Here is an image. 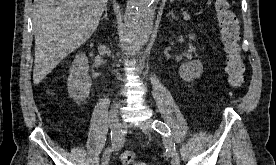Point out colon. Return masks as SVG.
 Returning a JSON list of instances; mask_svg holds the SVG:
<instances>
[{"label":"colon","instance_id":"colon-1","mask_svg":"<svg viewBox=\"0 0 276 165\" xmlns=\"http://www.w3.org/2000/svg\"><path fill=\"white\" fill-rule=\"evenodd\" d=\"M216 12L228 81L232 88H239L245 81V65L239 47L238 19L226 0H217ZM120 160L123 165H130L135 160V154L124 151Z\"/></svg>","mask_w":276,"mask_h":165}]
</instances>
